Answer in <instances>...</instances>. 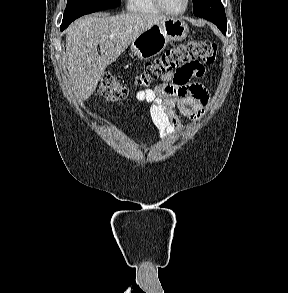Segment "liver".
Here are the masks:
<instances>
[{
  "label": "liver",
  "mask_w": 288,
  "mask_h": 293,
  "mask_svg": "<svg viewBox=\"0 0 288 293\" xmlns=\"http://www.w3.org/2000/svg\"><path fill=\"white\" fill-rule=\"evenodd\" d=\"M165 18L152 13L89 15L72 23L66 30V66L78 100H87L105 68L142 32Z\"/></svg>",
  "instance_id": "obj_1"
}]
</instances>
